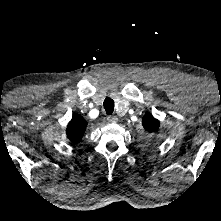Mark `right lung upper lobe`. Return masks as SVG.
<instances>
[{
	"mask_svg": "<svg viewBox=\"0 0 221 221\" xmlns=\"http://www.w3.org/2000/svg\"><path fill=\"white\" fill-rule=\"evenodd\" d=\"M86 127H87L86 120L81 115L78 114L74 115V117L67 126L66 130L67 137L72 143L78 144L83 137Z\"/></svg>",
	"mask_w": 221,
	"mask_h": 221,
	"instance_id": "obj_1",
	"label": "right lung upper lobe"
}]
</instances>
